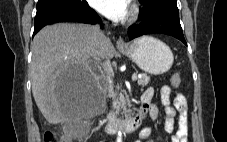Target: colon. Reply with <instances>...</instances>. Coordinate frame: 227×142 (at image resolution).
Listing matches in <instances>:
<instances>
[{"label":"colon","mask_w":227,"mask_h":142,"mask_svg":"<svg viewBox=\"0 0 227 142\" xmlns=\"http://www.w3.org/2000/svg\"><path fill=\"white\" fill-rule=\"evenodd\" d=\"M180 83V77L178 75H175L171 79V85L173 87H177ZM44 142H55V136L52 132H46L44 135ZM60 142H72V140L68 137H63Z\"/></svg>","instance_id":"obj_1"}]
</instances>
